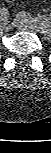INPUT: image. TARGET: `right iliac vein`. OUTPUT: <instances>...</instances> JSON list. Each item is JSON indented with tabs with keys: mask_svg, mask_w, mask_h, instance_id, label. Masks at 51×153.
I'll return each mask as SVG.
<instances>
[{
	"mask_svg": "<svg viewBox=\"0 0 51 153\" xmlns=\"http://www.w3.org/2000/svg\"><path fill=\"white\" fill-rule=\"evenodd\" d=\"M0 28H1L2 31L8 32V31L11 30L12 27H11V25H10L9 22L3 21V22L1 23V25H0Z\"/></svg>",
	"mask_w": 51,
	"mask_h": 153,
	"instance_id": "obj_1",
	"label": "right iliac vein"
}]
</instances>
